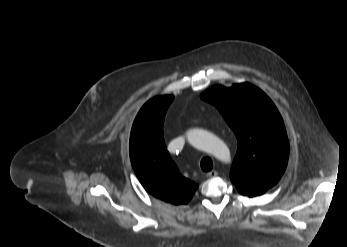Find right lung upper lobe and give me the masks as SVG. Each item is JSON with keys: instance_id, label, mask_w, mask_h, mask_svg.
I'll return each mask as SVG.
<instances>
[{"instance_id": "1", "label": "right lung upper lobe", "mask_w": 347, "mask_h": 247, "mask_svg": "<svg viewBox=\"0 0 347 247\" xmlns=\"http://www.w3.org/2000/svg\"><path fill=\"white\" fill-rule=\"evenodd\" d=\"M173 96H157L138 112L130 135L133 169L147 192L165 202L187 204L198 185L183 177L163 138L164 116Z\"/></svg>"}]
</instances>
